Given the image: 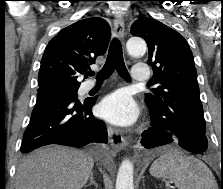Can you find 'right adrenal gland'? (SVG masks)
Instances as JSON below:
<instances>
[{
	"label": "right adrenal gland",
	"instance_id": "1",
	"mask_svg": "<svg viewBox=\"0 0 223 189\" xmlns=\"http://www.w3.org/2000/svg\"><path fill=\"white\" fill-rule=\"evenodd\" d=\"M94 185L96 187V189L98 188L97 183L94 181V177H93V172H91L90 174V182L89 184L85 185V188L88 186Z\"/></svg>",
	"mask_w": 223,
	"mask_h": 189
}]
</instances>
